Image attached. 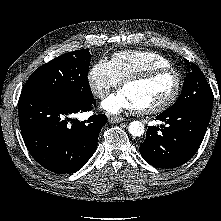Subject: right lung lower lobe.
I'll return each mask as SVG.
<instances>
[{"mask_svg": "<svg viewBox=\"0 0 221 221\" xmlns=\"http://www.w3.org/2000/svg\"><path fill=\"white\" fill-rule=\"evenodd\" d=\"M93 99L79 101L50 92H30L19 98V123L24 143L32 157L54 173H74L90 159L106 116L86 121L72 119L92 109Z\"/></svg>", "mask_w": 221, "mask_h": 221, "instance_id": "1", "label": "right lung lower lobe"}]
</instances>
